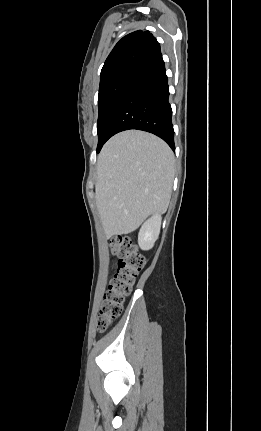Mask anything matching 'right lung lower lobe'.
<instances>
[{"label": "right lung lower lobe", "instance_id": "1", "mask_svg": "<svg viewBox=\"0 0 261 431\" xmlns=\"http://www.w3.org/2000/svg\"><path fill=\"white\" fill-rule=\"evenodd\" d=\"M162 56L145 66L122 100L109 128V138L137 129L162 138L174 151L172 110Z\"/></svg>", "mask_w": 261, "mask_h": 431}]
</instances>
